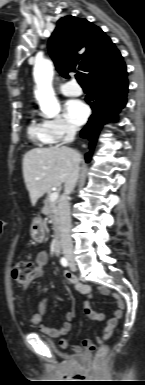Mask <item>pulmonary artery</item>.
<instances>
[{
    "mask_svg": "<svg viewBox=\"0 0 145 385\" xmlns=\"http://www.w3.org/2000/svg\"><path fill=\"white\" fill-rule=\"evenodd\" d=\"M60 91L67 96H78L82 94V89L75 80H71L60 85Z\"/></svg>",
    "mask_w": 145,
    "mask_h": 385,
    "instance_id": "1",
    "label": "pulmonary artery"
}]
</instances>
